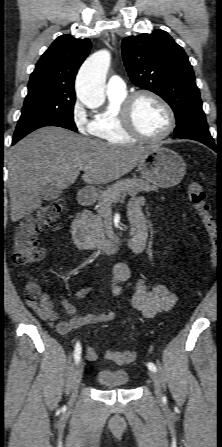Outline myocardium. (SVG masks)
I'll return each instance as SVG.
<instances>
[{
	"label": "myocardium",
	"mask_w": 222,
	"mask_h": 447,
	"mask_svg": "<svg viewBox=\"0 0 222 447\" xmlns=\"http://www.w3.org/2000/svg\"><path fill=\"white\" fill-rule=\"evenodd\" d=\"M143 96H147L155 100L157 103H159L163 109L165 110L167 117H168V124L166 129L162 134L159 136H147L143 134L135 125L133 120V109L135 106L136 101ZM119 122L122 130L128 134L130 137L143 141V142H150V143H156L164 140L167 138L175 129L176 126V117L175 113L172 109V107L169 105V103L159 94L152 90L148 89H140L137 91H134L128 95L125 96V98L122 100L119 106Z\"/></svg>",
	"instance_id": "f54148a6"
}]
</instances>
